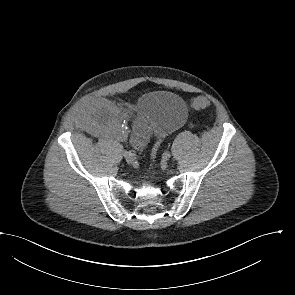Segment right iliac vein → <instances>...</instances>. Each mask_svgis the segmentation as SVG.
<instances>
[{
  "label": "right iliac vein",
  "instance_id": "1",
  "mask_svg": "<svg viewBox=\"0 0 295 295\" xmlns=\"http://www.w3.org/2000/svg\"><path fill=\"white\" fill-rule=\"evenodd\" d=\"M124 157H125V160L128 164H132L134 163V157L133 156H130L128 154H124Z\"/></svg>",
  "mask_w": 295,
  "mask_h": 295
}]
</instances>
